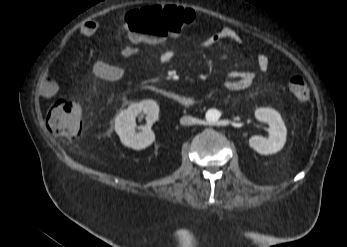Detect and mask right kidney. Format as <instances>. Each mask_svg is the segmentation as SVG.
<instances>
[{
    "mask_svg": "<svg viewBox=\"0 0 347 247\" xmlns=\"http://www.w3.org/2000/svg\"><path fill=\"white\" fill-rule=\"evenodd\" d=\"M144 112L147 117V125L141 127V132L136 133V116ZM159 106L154 100H143L140 103L131 104L127 109L121 111L115 118V131L120 137L123 145L141 150L153 143L155 134L151 125L157 121Z\"/></svg>",
    "mask_w": 347,
    "mask_h": 247,
    "instance_id": "obj_1",
    "label": "right kidney"
}]
</instances>
